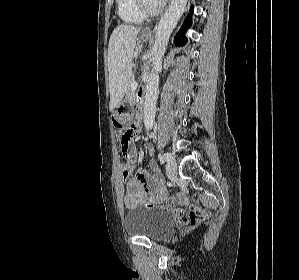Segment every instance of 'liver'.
I'll list each match as a JSON object with an SVG mask.
<instances>
[{"instance_id":"1","label":"liver","mask_w":299,"mask_h":280,"mask_svg":"<svg viewBox=\"0 0 299 280\" xmlns=\"http://www.w3.org/2000/svg\"><path fill=\"white\" fill-rule=\"evenodd\" d=\"M140 27L118 25L112 32L108 45V71L110 86L109 109L121 102L131 79L132 59Z\"/></svg>"}]
</instances>
